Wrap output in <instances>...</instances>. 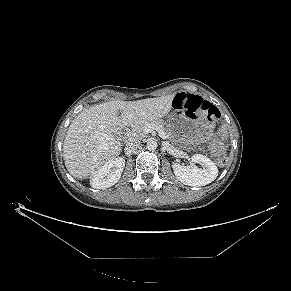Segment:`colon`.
Instances as JSON below:
<instances>
[{"label":"colon","instance_id":"1","mask_svg":"<svg viewBox=\"0 0 291 291\" xmlns=\"http://www.w3.org/2000/svg\"><path fill=\"white\" fill-rule=\"evenodd\" d=\"M173 107L181 114L189 117L197 115H205L209 118H218L220 112L216 106L199 96L184 95L182 93L176 95L173 100ZM209 150L216 156L217 163L221 166L227 162L225 155L224 143L216 139L209 145Z\"/></svg>","mask_w":291,"mask_h":291}]
</instances>
